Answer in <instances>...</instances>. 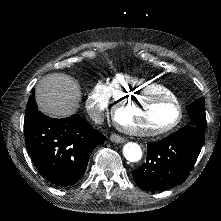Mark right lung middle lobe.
Instances as JSON below:
<instances>
[{
	"instance_id": "1",
	"label": "right lung middle lobe",
	"mask_w": 221,
	"mask_h": 221,
	"mask_svg": "<svg viewBox=\"0 0 221 221\" xmlns=\"http://www.w3.org/2000/svg\"><path fill=\"white\" fill-rule=\"evenodd\" d=\"M35 107H37V105H36L35 100H34V90L32 89V94H31V96L28 100L26 110H28L30 108H35Z\"/></svg>"
}]
</instances>
